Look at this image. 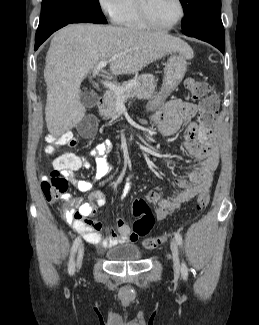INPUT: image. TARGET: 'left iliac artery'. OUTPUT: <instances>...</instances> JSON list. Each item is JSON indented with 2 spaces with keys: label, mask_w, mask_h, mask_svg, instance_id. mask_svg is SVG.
<instances>
[{
  "label": "left iliac artery",
  "mask_w": 259,
  "mask_h": 325,
  "mask_svg": "<svg viewBox=\"0 0 259 325\" xmlns=\"http://www.w3.org/2000/svg\"><path fill=\"white\" fill-rule=\"evenodd\" d=\"M175 239H176V241H177V243L179 245H182V236H181V234L179 232L175 233ZM181 273H182L183 278L187 279V277H188V268H187L185 262H182Z\"/></svg>",
  "instance_id": "obj_1"
}]
</instances>
